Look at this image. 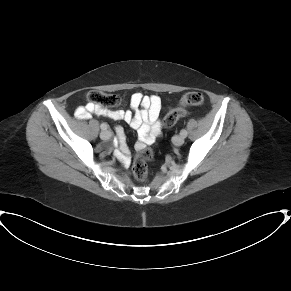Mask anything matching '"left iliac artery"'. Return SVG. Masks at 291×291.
Masks as SVG:
<instances>
[{
  "instance_id": "obj_1",
  "label": "left iliac artery",
  "mask_w": 291,
  "mask_h": 291,
  "mask_svg": "<svg viewBox=\"0 0 291 291\" xmlns=\"http://www.w3.org/2000/svg\"><path fill=\"white\" fill-rule=\"evenodd\" d=\"M180 135L185 138L187 136V131L185 129L181 130Z\"/></svg>"
}]
</instances>
